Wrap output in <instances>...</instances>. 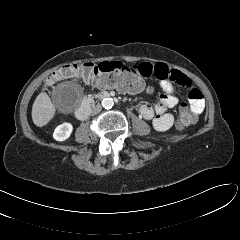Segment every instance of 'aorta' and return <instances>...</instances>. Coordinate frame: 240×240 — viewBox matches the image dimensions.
Segmentation results:
<instances>
[{"label":"aorta","mask_w":240,"mask_h":240,"mask_svg":"<svg viewBox=\"0 0 240 240\" xmlns=\"http://www.w3.org/2000/svg\"><path fill=\"white\" fill-rule=\"evenodd\" d=\"M113 105H114V101L112 98H105L102 100V106L106 109L112 108Z\"/></svg>","instance_id":"762f6f07"}]
</instances>
